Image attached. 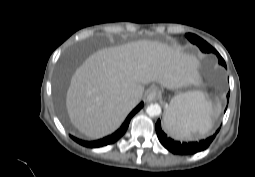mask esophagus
I'll use <instances>...</instances> for the list:
<instances>
[{
  "instance_id": "34e87169",
  "label": "esophagus",
  "mask_w": 255,
  "mask_h": 177,
  "mask_svg": "<svg viewBox=\"0 0 255 177\" xmlns=\"http://www.w3.org/2000/svg\"><path fill=\"white\" fill-rule=\"evenodd\" d=\"M158 98V90L156 87L150 88L146 95V101L150 102Z\"/></svg>"
}]
</instances>
